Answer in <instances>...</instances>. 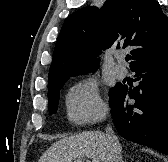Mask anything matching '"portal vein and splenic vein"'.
Segmentation results:
<instances>
[{"label":"portal vein and splenic vein","mask_w":168,"mask_h":162,"mask_svg":"<svg viewBox=\"0 0 168 162\" xmlns=\"http://www.w3.org/2000/svg\"><path fill=\"white\" fill-rule=\"evenodd\" d=\"M74 162H83L82 160H80V159H78V160H76V161H74Z\"/></svg>","instance_id":"portal-vein-and-splenic-vein-1"}]
</instances>
